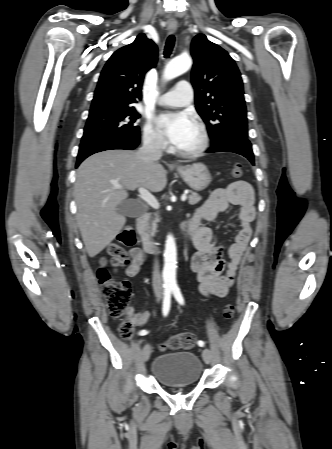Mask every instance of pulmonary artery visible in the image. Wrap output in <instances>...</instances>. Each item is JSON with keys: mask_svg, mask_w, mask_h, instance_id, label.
<instances>
[{"mask_svg": "<svg viewBox=\"0 0 332 449\" xmlns=\"http://www.w3.org/2000/svg\"><path fill=\"white\" fill-rule=\"evenodd\" d=\"M193 98V88L188 81L181 80L176 83L173 89L165 93L158 100L164 106L182 107L191 102Z\"/></svg>", "mask_w": 332, "mask_h": 449, "instance_id": "1", "label": "pulmonary artery"}]
</instances>
